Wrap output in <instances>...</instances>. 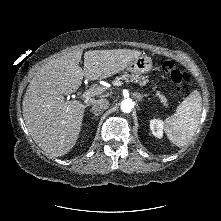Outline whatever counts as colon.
<instances>
[{"label": "colon", "instance_id": "5ec220e1", "mask_svg": "<svg viewBox=\"0 0 221 221\" xmlns=\"http://www.w3.org/2000/svg\"><path fill=\"white\" fill-rule=\"evenodd\" d=\"M161 69L170 76L171 81L175 85L178 93L187 91V83L189 82V75L186 72L177 69L171 61H163Z\"/></svg>", "mask_w": 221, "mask_h": 221}]
</instances>
